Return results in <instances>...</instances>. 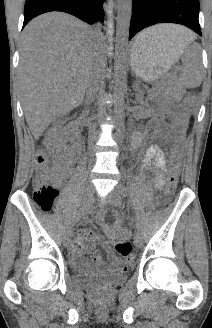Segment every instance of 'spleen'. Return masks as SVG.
Segmentation results:
<instances>
[{"instance_id":"1","label":"spleen","mask_w":212,"mask_h":328,"mask_svg":"<svg viewBox=\"0 0 212 328\" xmlns=\"http://www.w3.org/2000/svg\"><path fill=\"white\" fill-rule=\"evenodd\" d=\"M147 41L148 40L145 38V31H143L136 37L135 47L144 48L148 43ZM193 48L197 49V53L192 58L190 55V50H187L183 58L184 71L180 76L181 83L188 88H195L199 86L203 79V74L199 62L200 47L198 44H194Z\"/></svg>"}]
</instances>
